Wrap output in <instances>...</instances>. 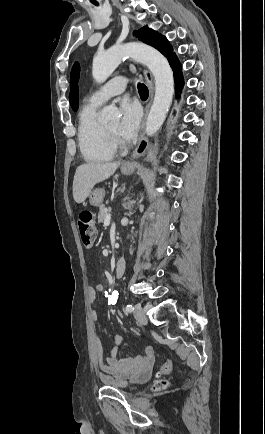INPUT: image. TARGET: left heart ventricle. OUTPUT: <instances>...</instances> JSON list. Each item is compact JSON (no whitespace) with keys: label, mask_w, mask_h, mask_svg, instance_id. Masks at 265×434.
<instances>
[{"label":"left heart ventricle","mask_w":265,"mask_h":434,"mask_svg":"<svg viewBox=\"0 0 265 434\" xmlns=\"http://www.w3.org/2000/svg\"><path fill=\"white\" fill-rule=\"evenodd\" d=\"M107 127H108L109 129H111L112 131L117 132V129H118V121L113 122V123L107 125Z\"/></svg>","instance_id":"left-heart-ventricle-1"}]
</instances>
